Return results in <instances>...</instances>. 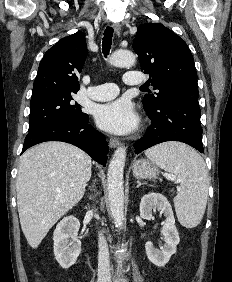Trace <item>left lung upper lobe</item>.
Wrapping results in <instances>:
<instances>
[{"label":"left lung upper lobe","mask_w":232,"mask_h":282,"mask_svg":"<svg viewBox=\"0 0 232 282\" xmlns=\"http://www.w3.org/2000/svg\"><path fill=\"white\" fill-rule=\"evenodd\" d=\"M133 49L149 83L157 89L146 94L143 105L158 107L172 95H198L197 73L187 44L159 23L138 27Z\"/></svg>","instance_id":"5c2ea615"}]
</instances>
